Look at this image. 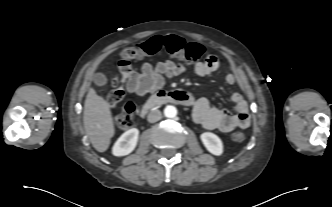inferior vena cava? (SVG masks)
Instances as JSON below:
<instances>
[{
    "instance_id": "obj_1",
    "label": "inferior vena cava",
    "mask_w": 332,
    "mask_h": 207,
    "mask_svg": "<svg viewBox=\"0 0 332 207\" xmlns=\"http://www.w3.org/2000/svg\"><path fill=\"white\" fill-rule=\"evenodd\" d=\"M162 118V114L159 110H152L149 112L148 116H147V120L150 123H154L159 121Z\"/></svg>"
}]
</instances>
